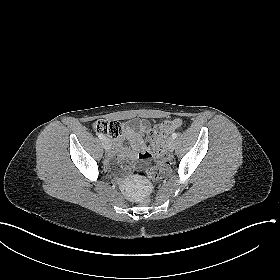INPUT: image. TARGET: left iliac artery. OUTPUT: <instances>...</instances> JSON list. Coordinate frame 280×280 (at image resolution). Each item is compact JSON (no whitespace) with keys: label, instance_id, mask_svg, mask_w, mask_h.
<instances>
[{"label":"left iliac artery","instance_id":"44dca946","mask_svg":"<svg viewBox=\"0 0 280 280\" xmlns=\"http://www.w3.org/2000/svg\"><path fill=\"white\" fill-rule=\"evenodd\" d=\"M172 138H173V139L177 138V133H173V134H172Z\"/></svg>","mask_w":280,"mask_h":280}]
</instances>
